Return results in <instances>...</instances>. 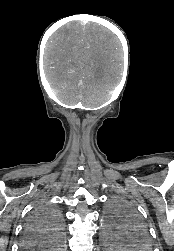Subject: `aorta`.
Listing matches in <instances>:
<instances>
[{
  "instance_id": "aorta-1",
  "label": "aorta",
  "mask_w": 174,
  "mask_h": 251,
  "mask_svg": "<svg viewBox=\"0 0 174 251\" xmlns=\"http://www.w3.org/2000/svg\"><path fill=\"white\" fill-rule=\"evenodd\" d=\"M100 233V250L102 251H118L123 250L121 242V234L109 228V224L103 222L99 230Z\"/></svg>"
}]
</instances>
